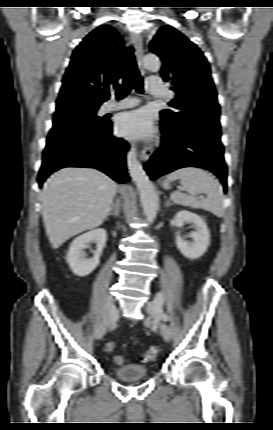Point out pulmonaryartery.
<instances>
[{
  "mask_svg": "<svg viewBox=\"0 0 273 430\" xmlns=\"http://www.w3.org/2000/svg\"><path fill=\"white\" fill-rule=\"evenodd\" d=\"M147 88L150 94L154 96H163L165 95V89L163 82L160 79L154 78L150 79L147 82ZM138 105L137 99H125L121 102H110L106 105L105 110L108 112L120 110V109H126L131 108Z\"/></svg>",
  "mask_w": 273,
  "mask_h": 430,
  "instance_id": "1",
  "label": "pulmonary artery"
}]
</instances>
